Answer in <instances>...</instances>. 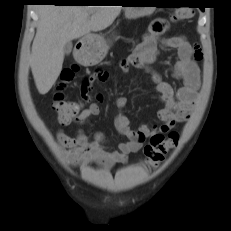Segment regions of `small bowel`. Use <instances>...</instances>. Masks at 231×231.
I'll return each instance as SVG.
<instances>
[{"label": "small bowel", "instance_id": "small-bowel-1", "mask_svg": "<svg viewBox=\"0 0 231 231\" xmlns=\"http://www.w3.org/2000/svg\"><path fill=\"white\" fill-rule=\"evenodd\" d=\"M167 29L168 23L164 19L153 21L148 32L135 44L132 54L119 63V68L123 71H127L131 66L142 69L148 68L159 55L158 42ZM163 45L177 50L178 61L175 65L174 76L182 79L183 85L174 89L158 74L151 73L156 84L158 98L163 104L158 111V118L162 124L153 127L141 125L136 130L133 129L129 118L124 113L127 98L118 96L115 99L117 109L115 127L127 140L118 143L116 150L109 151L105 146L104 137L100 133H96L91 139L81 129L78 130L75 137L60 130L56 135L57 144L59 152L67 164L81 168L97 164L104 169H111L116 164L127 162L129 154L139 151L144 141L153 134L166 133L177 123L189 118L196 103V93L200 83L198 61L201 59L202 53L198 46L191 45L184 36L164 39ZM107 79V72L101 69L87 75L81 85L82 97L86 101L90 100L93 82L96 80L103 82ZM99 113L98 104L92 102L79 113L74 119V123L82 126Z\"/></svg>", "mask_w": 231, "mask_h": 231}]
</instances>
